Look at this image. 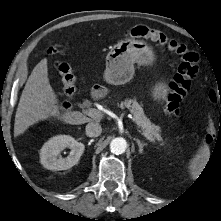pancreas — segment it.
I'll return each instance as SVG.
<instances>
[{
	"instance_id": "cf45deb5",
	"label": "pancreas",
	"mask_w": 221,
	"mask_h": 221,
	"mask_svg": "<svg viewBox=\"0 0 221 221\" xmlns=\"http://www.w3.org/2000/svg\"><path fill=\"white\" fill-rule=\"evenodd\" d=\"M120 108H128L132 114V120L138 125V127L152 135L154 140L160 142L161 146L165 145V141L160 135V126L151 123V121L144 114L142 105H140L135 99H127L121 102Z\"/></svg>"
}]
</instances>
